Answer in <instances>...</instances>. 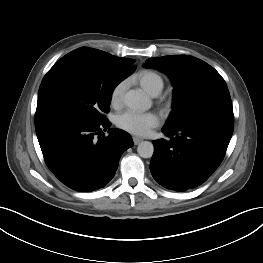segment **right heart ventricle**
<instances>
[{
  "label": "right heart ventricle",
  "instance_id": "e07e8e85",
  "mask_svg": "<svg viewBox=\"0 0 263 263\" xmlns=\"http://www.w3.org/2000/svg\"><path fill=\"white\" fill-rule=\"evenodd\" d=\"M135 80L138 84L149 94H159L163 89L164 82L162 77L151 70H142L135 76Z\"/></svg>",
  "mask_w": 263,
  "mask_h": 263
}]
</instances>
